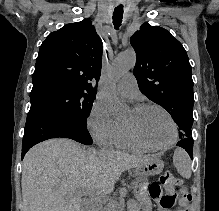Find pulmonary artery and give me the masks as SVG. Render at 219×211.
<instances>
[{
  "instance_id": "obj_1",
  "label": "pulmonary artery",
  "mask_w": 219,
  "mask_h": 211,
  "mask_svg": "<svg viewBox=\"0 0 219 211\" xmlns=\"http://www.w3.org/2000/svg\"><path fill=\"white\" fill-rule=\"evenodd\" d=\"M117 88L122 96L133 98L138 93V83L135 76L130 72L124 74Z\"/></svg>"
}]
</instances>
